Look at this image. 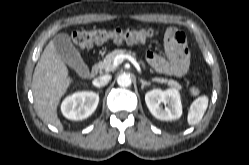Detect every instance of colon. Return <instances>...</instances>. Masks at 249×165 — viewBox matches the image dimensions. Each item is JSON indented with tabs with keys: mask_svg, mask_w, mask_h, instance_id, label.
Listing matches in <instances>:
<instances>
[{
	"mask_svg": "<svg viewBox=\"0 0 249 165\" xmlns=\"http://www.w3.org/2000/svg\"><path fill=\"white\" fill-rule=\"evenodd\" d=\"M157 34L154 29H135V28H114L112 30L106 29H92V30H77L72 33V40L81 48H89L93 44H101L107 41L121 43L123 41L129 44L142 43L152 38ZM180 40L185 42L184 33H179ZM191 93L197 95L199 89L196 86L191 88Z\"/></svg>",
	"mask_w": 249,
	"mask_h": 165,
	"instance_id": "5ec220e1",
	"label": "colon"
}]
</instances>
